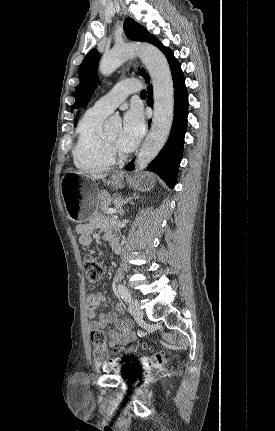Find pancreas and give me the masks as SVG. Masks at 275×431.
Returning a JSON list of instances; mask_svg holds the SVG:
<instances>
[{
  "instance_id": "obj_1",
  "label": "pancreas",
  "mask_w": 275,
  "mask_h": 431,
  "mask_svg": "<svg viewBox=\"0 0 275 431\" xmlns=\"http://www.w3.org/2000/svg\"><path fill=\"white\" fill-rule=\"evenodd\" d=\"M111 198L106 191H101L98 198V204H100L101 210H106L111 204Z\"/></svg>"
}]
</instances>
